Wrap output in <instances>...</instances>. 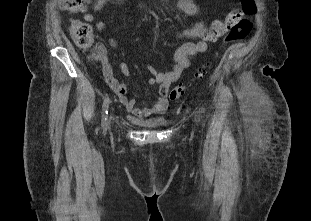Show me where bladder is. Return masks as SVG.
I'll return each mask as SVG.
<instances>
[{
  "mask_svg": "<svg viewBox=\"0 0 311 221\" xmlns=\"http://www.w3.org/2000/svg\"><path fill=\"white\" fill-rule=\"evenodd\" d=\"M165 122H166V120H163L162 122L152 120V121L144 122L143 124L147 127H156L158 125L165 124Z\"/></svg>",
  "mask_w": 311,
  "mask_h": 221,
  "instance_id": "obj_1",
  "label": "bladder"
}]
</instances>
